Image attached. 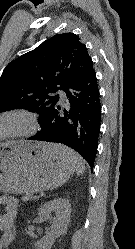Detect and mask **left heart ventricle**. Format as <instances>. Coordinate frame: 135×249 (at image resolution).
<instances>
[{"mask_svg": "<svg viewBox=\"0 0 135 249\" xmlns=\"http://www.w3.org/2000/svg\"><path fill=\"white\" fill-rule=\"evenodd\" d=\"M22 127V123L15 118H7L0 121V134L17 130Z\"/></svg>", "mask_w": 135, "mask_h": 249, "instance_id": "b2bd125f", "label": "left heart ventricle"}]
</instances>
